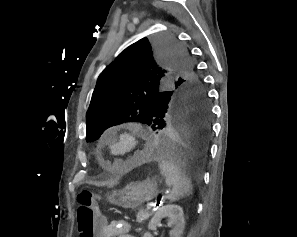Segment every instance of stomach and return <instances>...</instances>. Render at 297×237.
Listing matches in <instances>:
<instances>
[{
  "label": "stomach",
  "mask_w": 297,
  "mask_h": 237,
  "mask_svg": "<svg viewBox=\"0 0 297 237\" xmlns=\"http://www.w3.org/2000/svg\"><path fill=\"white\" fill-rule=\"evenodd\" d=\"M157 193L156 182L147 178L143 181L130 182L121 191L108 196V200L126 209H136L153 199Z\"/></svg>",
  "instance_id": "obj_1"
}]
</instances>
